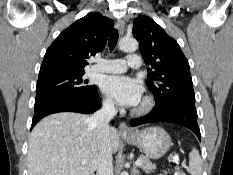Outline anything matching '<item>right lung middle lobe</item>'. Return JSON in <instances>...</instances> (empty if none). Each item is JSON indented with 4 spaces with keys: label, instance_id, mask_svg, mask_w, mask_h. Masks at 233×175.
I'll list each match as a JSON object with an SVG mask.
<instances>
[{
    "label": "right lung middle lobe",
    "instance_id": "obj_1",
    "mask_svg": "<svg viewBox=\"0 0 233 175\" xmlns=\"http://www.w3.org/2000/svg\"><path fill=\"white\" fill-rule=\"evenodd\" d=\"M85 72L56 74L38 78L36 99L40 100L52 96H85L96 90L95 85H87L83 80Z\"/></svg>",
    "mask_w": 233,
    "mask_h": 175
}]
</instances>
